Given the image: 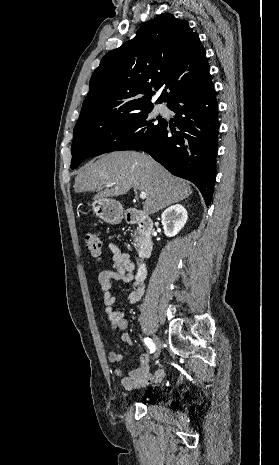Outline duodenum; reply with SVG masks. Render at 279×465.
<instances>
[{
	"label": "duodenum",
	"mask_w": 279,
	"mask_h": 465,
	"mask_svg": "<svg viewBox=\"0 0 279 465\" xmlns=\"http://www.w3.org/2000/svg\"><path fill=\"white\" fill-rule=\"evenodd\" d=\"M125 220L127 223L135 224L138 227V256L140 258V263L135 278L138 281H143L146 276V265L144 260L151 256L153 250V222L147 215L138 210H129L125 215Z\"/></svg>",
	"instance_id": "duodenum-1"
}]
</instances>
